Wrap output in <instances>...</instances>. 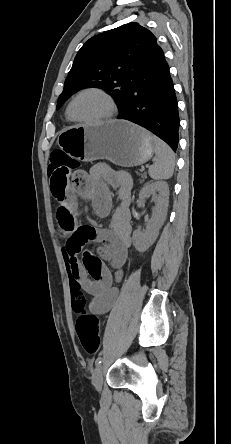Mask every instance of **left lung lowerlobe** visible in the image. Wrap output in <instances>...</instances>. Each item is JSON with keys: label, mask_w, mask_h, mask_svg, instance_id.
I'll return each mask as SVG.
<instances>
[{"label": "left lung lower lobe", "mask_w": 231, "mask_h": 444, "mask_svg": "<svg viewBox=\"0 0 231 444\" xmlns=\"http://www.w3.org/2000/svg\"><path fill=\"white\" fill-rule=\"evenodd\" d=\"M118 119L132 121L164 140L176 151L179 115L174 85L162 49L135 77Z\"/></svg>", "instance_id": "obj_1"}]
</instances>
